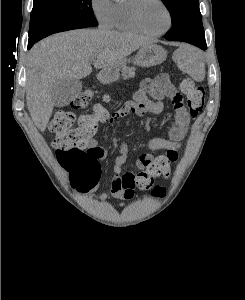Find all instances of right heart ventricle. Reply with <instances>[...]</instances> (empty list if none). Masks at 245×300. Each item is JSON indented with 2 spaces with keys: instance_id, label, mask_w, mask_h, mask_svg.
<instances>
[{
  "instance_id": "1",
  "label": "right heart ventricle",
  "mask_w": 245,
  "mask_h": 300,
  "mask_svg": "<svg viewBox=\"0 0 245 300\" xmlns=\"http://www.w3.org/2000/svg\"><path fill=\"white\" fill-rule=\"evenodd\" d=\"M132 0H117L114 3L113 15L110 27L128 33L140 34L130 18L129 8Z\"/></svg>"
}]
</instances>
